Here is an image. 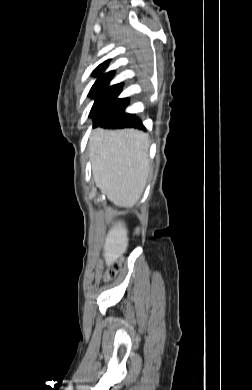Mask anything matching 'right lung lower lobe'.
<instances>
[{
	"instance_id": "1",
	"label": "right lung lower lobe",
	"mask_w": 252,
	"mask_h": 390,
	"mask_svg": "<svg viewBox=\"0 0 252 390\" xmlns=\"http://www.w3.org/2000/svg\"><path fill=\"white\" fill-rule=\"evenodd\" d=\"M100 127H105V128L133 127V128L145 129L140 119L136 118L132 114H127L124 112L118 115L117 117L111 119L107 123L101 125Z\"/></svg>"
}]
</instances>
